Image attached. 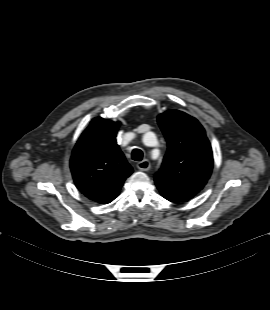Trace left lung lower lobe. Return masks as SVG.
I'll list each match as a JSON object with an SVG mask.
<instances>
[{
  "label": "left lung lower lobe",
  "mask_w": 270,
  "mask_h": 310,
  "mask_svg": "<svg viewBox=\"0 0 270 310\" xmlns=\"http://www.w3.org/2000/svg\"><path fill=\"white\" fill-rule=\"evenodd\" d=\"M156 183L161 195L171 202H183L194 197L199 191L191 189H181L167 186L162 183Z\"/></svg>",
  "instance_id": "left-lung-lower-lobe-1"
}]
</instances>
